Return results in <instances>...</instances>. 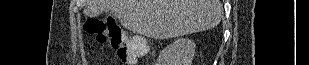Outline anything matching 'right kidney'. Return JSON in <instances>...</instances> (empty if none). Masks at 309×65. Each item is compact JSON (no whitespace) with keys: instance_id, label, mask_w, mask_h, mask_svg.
Instances as JSON below:
<instances>
[{"instance_id":"1","label":"right kidney","mask_w":309,"mask_h":65,"mask_svg":"<svg viewBox=\"0 0 309 65\" xmlns=\"http://www.w3.org/2000/svg\"><path fill=\"white\" fill-rule=\"evenodd\" d=\"M196 45L188 38L176 39L160 53L159 65H191Z\"/></svg>"}]
</instances>
